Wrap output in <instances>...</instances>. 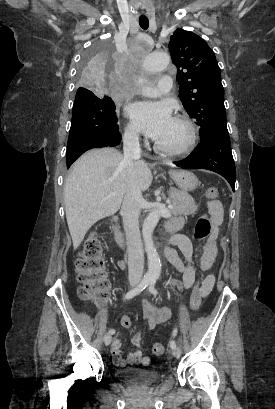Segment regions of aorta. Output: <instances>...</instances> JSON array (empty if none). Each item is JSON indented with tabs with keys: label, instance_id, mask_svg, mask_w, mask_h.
<instances>
[{
	"label": "aorta",
	"instance_id": "aorta-1",
	"mask_svg": "<svg viewBox=\"0 0 275 409\" xmlns=\"http://www.w3.org/2000/svg\"><path fill=\"white\" fill-rule=\"evenodd\" d=\"M145 58L149 60L150 64L148 70H163L170 62V56H166L165 51H146ZM159 219V209H152V213H149L143 223L142 235L148 259V271L144 277L146 281H157L161 273L159 255L152 241L153 231Z\"/></svg>",
	"mask_w": 275,
	"mask_h": 409
}]
</instances>
